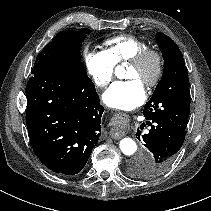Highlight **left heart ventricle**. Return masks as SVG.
<instances>
[{"instance_id":"b2bd125f","label":"left heart ventricle","mask_w":211,"mask_h":211,"mask_svg":"<svg viewBox=\"0 0 211 211\" xmlns=\"http://www.w3.org/2000/svg\"><path fill=\"white\" fill-rule=\"evenodd\" d=\"M153 73L154 61L150 59L142 66H135L133 64H129L127 77L131 79H139L142 83H144L153 75Z\"/></svg>"}]
</instances>
